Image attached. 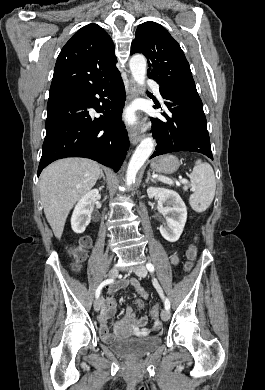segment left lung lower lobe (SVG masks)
<instances>
[{
    "mask_svg": "<svg viewBox=\"0 0 265 390\" xmlns=\"http://www.w3.org/2000/svg\"><path fill=\"white\" fill-rule=\"evenodd\" d=\"M160 94L167 108V113L161 115L167 121L151 118L157 146L150 158L192 151L213 159L203 104L196 87L160 88ZM156 107L160 108V105Z\"/></svg>",
    "mask_w": 265,
    "mask_h": 390,
    "instance_id": "0a47b994",
    "label": "left lung lower lobe"
}]
</instances>
